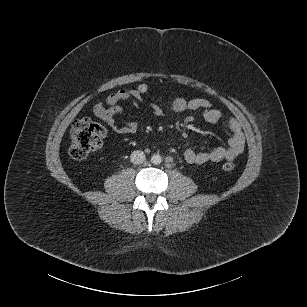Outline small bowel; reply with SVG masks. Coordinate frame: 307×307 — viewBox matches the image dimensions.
Wrapping results in <instances>:
<instances>
[{"label":"small bowel","instance_id":"obj_1","mask_svg":"<svg viewBox=\"0 0 307 307\" xmlns=\"http://www.w3.org/2000/svg\"><path fill=\"white\" fill-rule=\"evenodd\" d=\"M150 91L146 84H140L134 89L119 90L106 96L104 107L97 104L94 107V114L102 120L113 132L118 134H134L138 126L135 122L122 120L124 109L118 104L119 101H129L134 107H140L143 97ZM150 110L155 116L163 114L162 109L157 105H150ZM170 110L174 113H182L187 110H200L203 118L210 124H225L231 133L227 146H218L212 150L195 151L186 149L184 159L195 165H203L207 162H220L223 160H234L245 148V136L240 123L233 117L226 115L221 110L212 107L209 100L205 98L186 99L178 97L173 100Z\"/></svg>","mask_w":307,"mask_h":307}]
</instances>
